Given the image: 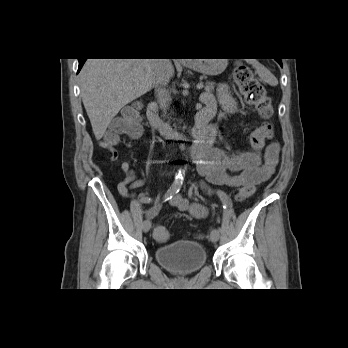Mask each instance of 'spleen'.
<instances>
[{
	"label": "spleen",
	"instance_id": "obj_1",
	"mask_svg": "<svg viewBox=\"0 0 348 348\" xmlns=\"http://www.w3.org/2000/svg\"><path fill=\"white\" fill-rule=\"evenodd\" d=\"M247 62L251 64L253 68H255L256 73L262 81L268 83L271 86H276L278 84L276 77L256 59H247Z\"/></svg>",
	"mask_w": 348,
	"mask_h": 348
}]
</instances>
